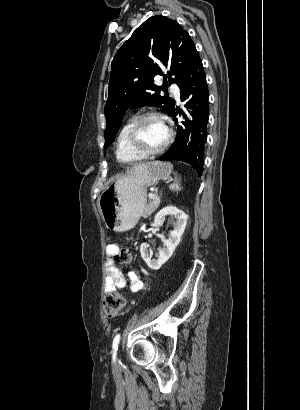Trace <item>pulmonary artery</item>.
Listing matches in <instances>:
<instances>
[{"label": "pulmonary artery", "instance_id": "obj_1", "mask_svg": "<svg viewBox=\"0 0 300 410\" xmlns=\"http://www.w3.org/2000/svg\"><path fill=\"white\" fill-rule=\"evenodd\" d=\"M171 92L176 96L177 99L180 97V89L176 85L171 86Z\"/></svg>", "mask_w": 300, "mask_h": 410}]
</instances>
